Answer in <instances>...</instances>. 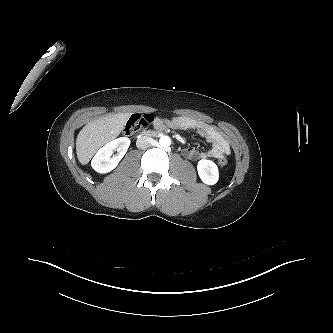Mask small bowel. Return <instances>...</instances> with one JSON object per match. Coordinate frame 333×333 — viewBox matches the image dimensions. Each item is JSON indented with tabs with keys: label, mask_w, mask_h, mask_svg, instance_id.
Wrapping results in <instances>:
<instances>
[{
	"label": "small bowel",
	"mask_w": 333,
	"mask_h": 333,
	"mask_svg": "<svg viewBox=\"0 0 333 333\" xmlns=\"http://www.w3.org/2000/svg\"><path fill=\"white\" fill-rule=\"evenodd\" d=\"M153 125L156 129L192 130L204 137L211 144V148L207 151H200L194 147H186L183 150V155L187 159L196 161L207 158H220L221 156L228 155L230 152V145L223 134L215 127L203 121L185 116H176L171 119L154 118Z\"/></svg>",
	"instance_id": "1"
}]
</instances>
